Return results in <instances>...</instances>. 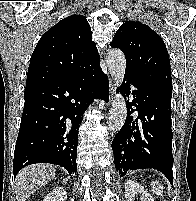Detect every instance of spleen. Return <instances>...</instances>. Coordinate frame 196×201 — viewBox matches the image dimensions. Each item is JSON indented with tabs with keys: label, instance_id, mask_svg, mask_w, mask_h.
Wrapping results in <instances>:
<instances>
[{
	"label": "spleen",
	"instance_id": "spleen-1",
	"mask_svg": "<svg viewBox=\"0 0 196 201\" xmlns=\"http://www.w3.org/2000/svg\"><path fill=\"white\" fill-rule=\"evenodd\" d=\"M156 184L158 185V183L156 182ZM155 183L153 182V192L157 195V196H162L163 191L160 190V188H158V186H154Z\"/></svg>",
	"mask_w": 196,
	"mask_h": 201
}]
</instances>
